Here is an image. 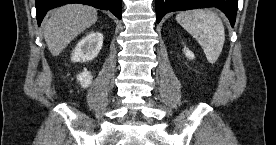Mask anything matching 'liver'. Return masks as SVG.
Returning <instances> with one entry per match:
<instances>
[{"instance_id": "obj_1", "label": "liver", "mask_w": 276, "mask_h": 145, "mask_svg": "<svg viewBox=\"0 0 276 145\" xmlns=\"http://www.w3.org/2000/svg\"><path fill=\"white\" fill-rule=\"evenodd\" d=\"M97 10L83 4H67L51 10L44 21V38L52 56H58L81 32L97 21Z\"/></svg>"}]
</instances>
